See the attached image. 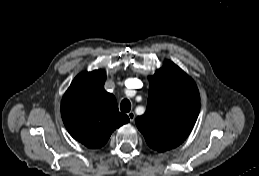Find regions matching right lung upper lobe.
<instances>
[{"mask_svg": "<svg viewBox=\"0 0 259 176\" xmlns=\"http://www.w3.org/2000/svg\"><path fill=\"white\" fill-rule=\"evenodd\" d=\"M103 70L78 75L63 96L61 115L63 122L77 141L88 148L106 144L111 133L129 122L120 113L115 97L106 92Z\"/></svg>", "mask_w": 259, "mask_h": 176, "instance_id": "1", "label": "right lung upper lobe"}]
</instances>
